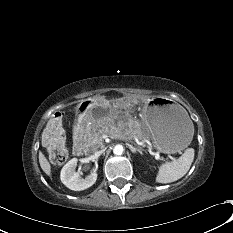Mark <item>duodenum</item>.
Here are the masks:
<instances>
[{
	"mask_svg": "<svg viewBox=\"0 0 233 233\" xmlns=\"http://www.w3.org/2000/svg\"><path fill=\"white\" fill-rule=\"evenodd\" d=\"M86 108L87 109H92L94 104L92 101H87L86 104H85ZM80 132V128L77 126L76 129H75V132H74V144H73V151L74 153L76 154H81L82 153V150H83V145L81 144L80 141L77 140V136Z\"/></svg>",
	"mask_w": 233,
	"mask_h": 233,
	"instance_id": "obj_1",
	"label": "duodenum"
}]
</instances>
